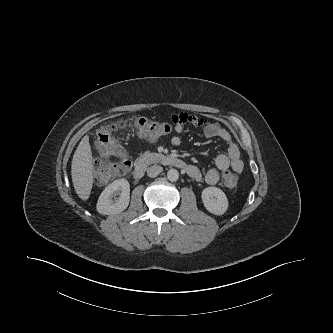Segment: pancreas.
<instances>
[{
	"label": "pancreas",
	"instance_id": "pancreas-1",
	"mask_svg": "<svg viewBox=\"0 0 333 333\" xmlns=\"http://www.w3.org/2000/svg\"><path fill=\"white\" fill-rule=\"evenodd\" d=\"M162 156H163V155H162V154H159V153H154V152L152 153V152H150V151H146V152L143 153L142 158H143L144 160H148V161L153 162V161H157V160L160 159Z\"/></svg>",
	"mask_w": 333,
	"mask_h": 333
}]
</instances>
